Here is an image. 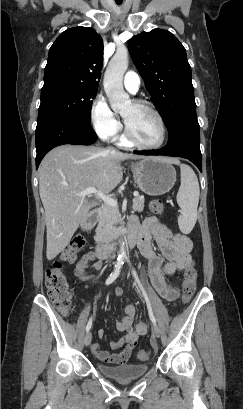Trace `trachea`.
<instances>
[{
  "label": "trachea",
  "mask_w": 243,
  "mask_h": 409,
  "mask_svg": "<svg viewBox=\"0 0 243 409\" xmlns=\"http://www.w3.org/2000/svg\"><path fill=\"white\" fill-rule=\"evenodd\" d=\"M123 0H116L117 4H121Z\"/></svg>",
  "instance_id": "1"
}]
</instances>
